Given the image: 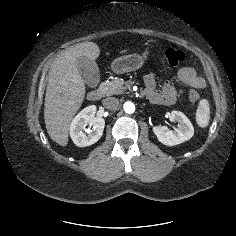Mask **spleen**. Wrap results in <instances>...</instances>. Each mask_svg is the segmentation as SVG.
I'll return each mask as SVG.
<instances>
[{
  "label": "spleen",
  "instance_id": "obj_1",
  "mask_svg": "<svg viewBox=\"0 0 236 236\" xmlns=\"http://www.w3.org/2000/svg\"><path fill=\"white\" fill-rule=\"evenodd\" d=\"M210 119V107L206 99H202L199 102L198 109L196 112L197 124L204 128L208 125Z\"/></svg>",
  "mask_w": 236,
  "mask_h": 236
}]
</instances>
